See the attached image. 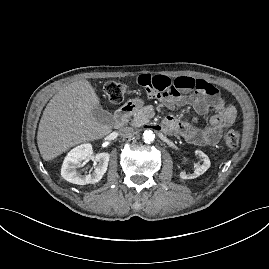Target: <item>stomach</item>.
Returning a JSON list of instances; mask_svg holds the SVG:
<instances>
[{"label":"stomach","instance_id":"0dacf381","mask_svg":"<svg viewBox=\"0 0 269 269\" xmlns=\"http://www.w3.org/2000/svg\"><path fill=\"white\" fill-rule=\"evenodd\" d=\"M131 104L134 105L136 108L141 106V101L138 99L131 100Z\"/></svg>","mask_w":269,"mask_h":269}]
</instances>
